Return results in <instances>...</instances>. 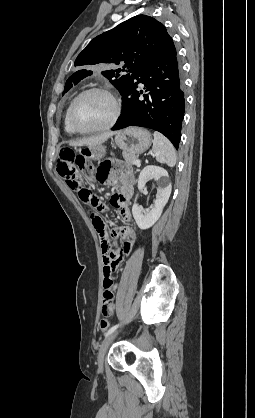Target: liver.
<instances>
[{"mask_svg": "<svg viewBox=\"0 0 255 418\" xmlns=\"http://www.w3.org/2000/svg\"><path fill=\"white\" fill-rule=\"evenodd\" d=\"M114 134H115L114 132H107L98 136H93V137L79 139L77 141H72L69 143V145L75 146V147L76 146L92 147V146L102 145V143L107 141V139L112 137Z\"/></svg>", "mask_w": 255, "mask_h": 418, "instance_id": "obj_1", "label": "liver"}]
</instances>
